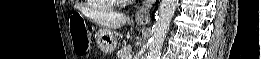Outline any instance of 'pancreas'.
<instances>
[{"instance_id": "obj_1", "label": "pancreas", "mask_w": 261, "mask_h": 59, "mask_svg": "<svg viewBox=\"0 0 261 59\" xmlns=\"http://www.w3.org/2000/svg\"><path fill=\"white\" fill-rule=\"evenodd\" d=\"M132 52V48L129 45L123 46L121 50L118 51L117 53V58L118 59H126L127 56H129Z\"/></svg>"}]
</instances>
